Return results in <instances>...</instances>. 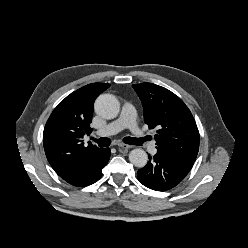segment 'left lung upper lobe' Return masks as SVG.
Here are the masks:
<instances>
[{
    "label": "left lung upper lobe",
    "instance_id": "1",
    "mask_svg": "<svg viewBox=\"0 0 248 248\" xmlns=\"http://www.w3.org/2000/svg\"><path fill=\"white\" fill-rule=\"evenodd\" d=\"M142 101L144 121L155 135L157 152L194 162L199 150V131L185 103L168 89L152 84L133 85Z\"/></svg>",
    "mask_w": 248,
    "mask_h": 248
}]
</instances>
